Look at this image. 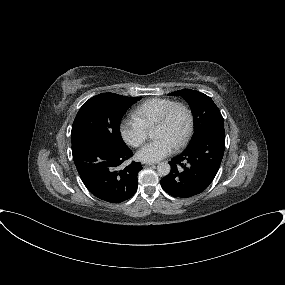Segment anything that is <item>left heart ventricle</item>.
<instances>
[{"mask_svg":"<svg viewBox=\"0 0 285 285\" xmlns=\"http://www.w3.org/2000/svg\"><path fill=\"white\" fill-rule=\"evenodd\" d=\"M187 126L186 114L177 110L166 125H156L153 130L155 138L167 137L175 146L182 139Z\"/></svg>","mask_w":285,"mask_h":285,"instance_id":"b2bd125f","label":"left heart ventricle"}]
</instances>
